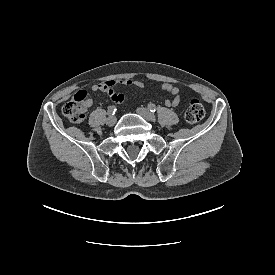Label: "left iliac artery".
Listing matches in <instances>:
<instances>
[{
	"instance_id": "44dca946",
	"label": "left iliac artery",
	"mask_w": 275,
	"mask_h": 275,
	"mask_svg": "<svg viewBox=\"0 0 275 275\" xmlns=\"http://www.w3.org/2000/svg\"><path fill=\"white\" fill-rule=\"evenodd\" d=\"M148 108H149V110H150L151 112H155V111H156V106H155L153 103H150V104L148 105Z\"/></svg>"
}]
</instances>
